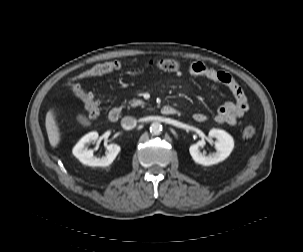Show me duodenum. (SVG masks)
I'll list each match as a JSON object with an SVG mask.
<instances>
[{"label":"duodenum","mask_w":303,"mask_h":252,"mask_svg":"<svg viewBox=\"0 0 303 252\" xmlns=\"http://www.w3.org/2000/svg\"><path fill=\"white\" fill-rule=\"evenodd\" d=\"M161 111L165 115L176 114L178 110L170 105H165L161 108ZM121 114V109L118 106L113 107L108 114L109 120L112 122H116Z\"/></svg>","instance_id":"1"}]
</instances>
